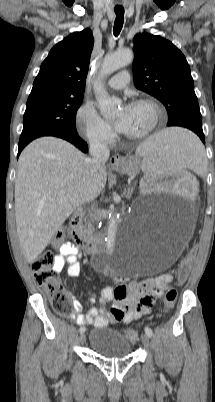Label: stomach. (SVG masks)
I'll return each instance as SVG.
<instances>
[{
	"label": "stomach",
	"instance_id": "1",
	"mask_svg": "<svg viewBox=\"0 0 215 402\" xmlns=\"http://www.w3.org/2000/svg\"><path fill=\"white\" fill-rule=\"evenodd\" d=\"M140 168V161L136 157H127L122 165L115 168V171L126 175H136Z\"/></svg>",
	"mask_w": 215,
	"mask_h": 402
}]
</instances>
